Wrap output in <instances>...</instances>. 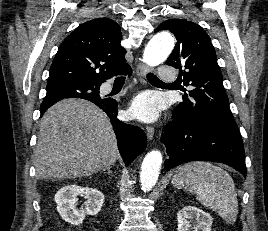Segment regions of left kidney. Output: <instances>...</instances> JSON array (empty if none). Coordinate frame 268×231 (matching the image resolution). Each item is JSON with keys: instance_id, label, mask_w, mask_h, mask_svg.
<instances>
[{"instance_id": "1", "label": "left kidney", "mask_w": 268, "mask_h": 231, "mask_svg": "<svg viewBox=\"0 0 268 231\" xmlns=\"http://www.w3.org/2000/svg\"><path fill=\"white\" fill-rule=\"evenodd\" d=\"M177 231H211V215L195 206H185L177 213Z\"/></svg>"}]
</instances>
